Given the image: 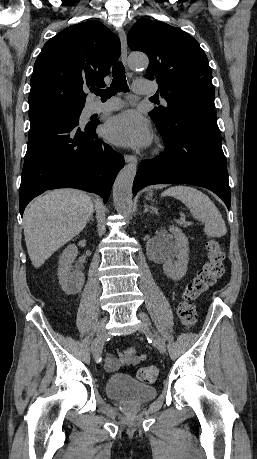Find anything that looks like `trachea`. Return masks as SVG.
Segmentation results:
<instances>
[{"instance_id":"3493384b","label":"trachea","mask_w":257,"mask_h":459,"mask_svg":"<svg viewBox=\"0 0 257 459\" xmlns=\"http://www.w3.org/2000/svg\"><path fill=\"white\" fill-rule=\"evenodd\" d=\"M113 80L110 87L105 90L94 89L93 93L99 95L102 101H106L108 98L116 95L118 92H127L128 85L126 82L125 68L122 62H117L112 68Z\"/></svg>"}]
</instances>
